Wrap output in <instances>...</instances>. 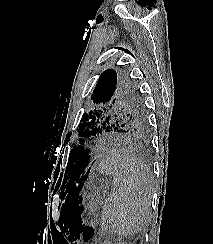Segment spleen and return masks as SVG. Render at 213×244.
I'll return each mask as SVG.
<instances>
[{
	"label": "spleen",
	"mask_w": 213,
	"mask_h": 244,
	"mask_svg": "<svg viewBox=\"0 0 213 244\" xmlns=\"http://www.w3.org/2000/svg\"><path fill=\"white\" fill-rule=\"evenodd\" d=\"M112 176L113 189L106 197L101 214L102 230L123 237L142 231L150 207V174L143 164L128 154H115L102 164Z\"/></svg>",
	"instance_id": "obj_1"
}]
</instances>
